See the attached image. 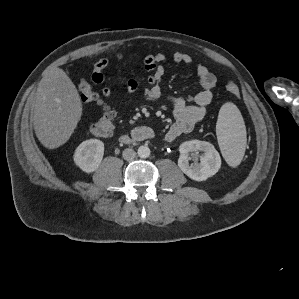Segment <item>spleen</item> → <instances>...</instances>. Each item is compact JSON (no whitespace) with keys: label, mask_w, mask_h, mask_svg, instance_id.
I'll return each instance as SVG.
<instances>
[{"label":"spleen","mask_w":299,"mask_h":299,"mask_svg":"<svg viewBox=\"0 0 299 299\" xmlns=\"http://www.w3.org/2000/svg\"><path fill=\"white\" fill-rule=\"evenodd\" d=\"M216 134L226 162L236 167L245 153L246 128L237 106L231 102L222 105L216 124Z\"/></svg>","instance_id":"spleen-1"}]
</instances>
